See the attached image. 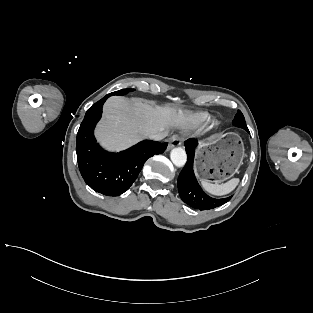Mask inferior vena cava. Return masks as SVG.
Returning <instances> with one entry per match:
<instances>
[{
	"mask_svg": "<svg viewBox=\"0 0 313 313\" xmlns=\"http://www.w3.org/2000/svg\"><path fill=\"white\" fill-rule=\"evenodd\" d=\"M167 136L166 132H156V133H149L148 137L152 140H162L163 138H165Z\"/></svg>",
	"mask_w": 313,
	"mask_h": 313,
	"instance_id": "1",
	"label": "inferior vena cava"
}]
</instances>
